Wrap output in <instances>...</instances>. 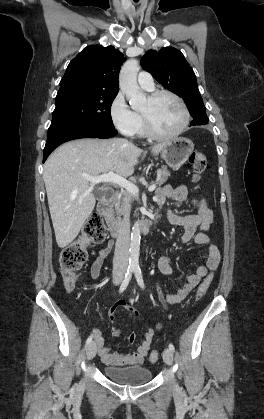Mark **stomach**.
Masks as SVG:
<instances>
[{
  "mask_svg": "<svg viewBox=\"0 0 264 419\" xmlns=\"http://www.w3.org/2000/svg\"><path fill=\"white\" fill-rule=\"evenodd\" d=\"M193 142L184 137H177L165 143L161 156L167 165L173 169L182 166L193 152Z\"/></svg>",
  "mask_w": 264,
  "mask_h": 419,
  "instance_id": "0dacf381",
  "label": "stomach"
}]
</instances>
